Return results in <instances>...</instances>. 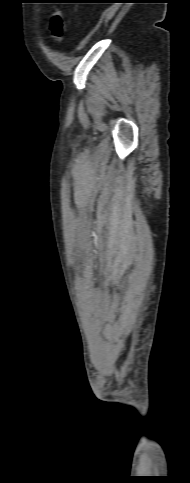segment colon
Listing matches in <instances>:
<instances>
[{
    "label": "colon",
    "mask_w": 190,
    "mask_h": 483,
    "mask_svg": "<svg viewBox=\"0 0 190 483\" xmlns=\"http://www.w3.org/2000/svg\"><path fill=\"white\" fill-rule=\"evenodd\" d=\"M49 31L55 42L60 43L64 38V20L60 12H54L49 19Z\"/></svg>",
    "instance_id": "5ec220e1"
}]
</instances>
